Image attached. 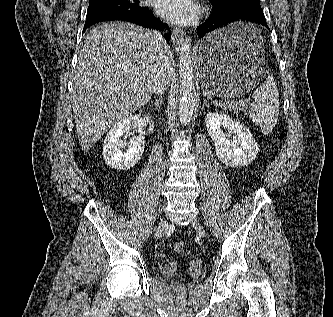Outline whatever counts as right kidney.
Returning <instances> with one entry per match:
<instances>
[{
	"label": "right kidney",
	"mask_w": 333,
	"mask_h": 317,
	"mask_svg": "<svg viewBox=\"0 0 333 317\" xmlns=\"http://www.w3.org/2000/svg\"><path fill=\"white\" fill-rule=\"evenodd\" d=\"M147 126V117L133 115L118 121L107 133L102 154L105 163L117 170L133 168L144 152L145 137L139 135L129 140L128 150L124 151L126 142L122 139L123 134L128 133L133 127L140 130Z\"/></svg>",
	"instance_id": "1"
}]
</instances>
